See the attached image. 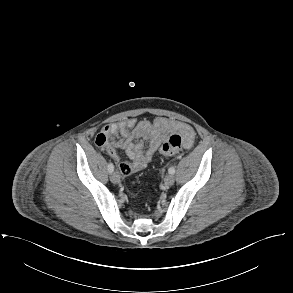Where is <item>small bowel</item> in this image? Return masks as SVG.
Segmentation results:
<instances>
[{
	"label": "small bowel",
	"instance_id": "1",
	"mask_svg": "<svg viewBox=\"0 0 293 293\" xmlns=\"http://www.w3.org/2000/svg\"><path fill=\"white\" fill-rule=\"evenodd\" d=\"M170 133L181 135L185 148L191 147L195 139L193 128L180 121L165 117L153 121L127 118L105 125L96 135L95 144L116 161L122 175H130L152 161L161 142ZM120 150L130 162L121 160Z\"/></svg>",
	"mask_w": 293,
	"mask_h": 293
}]
</instances>
